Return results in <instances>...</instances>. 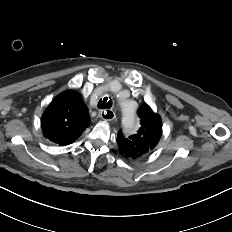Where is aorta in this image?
Returning a JSON list of instances; mask_svg holds the SVG:
<instances>
[{
    "label": "aorta",
    "mask_w": 232,
    "mask_h": 232,
    "mask_svg": "<svg viewBox=\"0 0 232 232\" xmlns=\"http://www.w3.org/2000/svg\"><path fill=\"white\" fill-rule=\"evenodd\" d=\"M122 124L124 128L133 131L136 128V112L125 100H121Z\"/></svg>",
    "instance_id": "762f6f07"
}]
</instances>
